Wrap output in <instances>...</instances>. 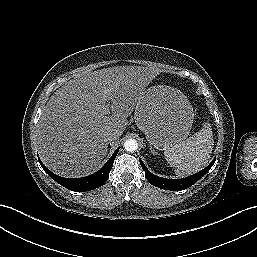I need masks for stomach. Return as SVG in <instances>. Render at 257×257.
Wrapping results in <instances>:
<instances>
[{"label": "stomach", "instance_id": "0dacf381", "mask_svg": "<svg viewBox=\"0 0 257 257\" xmlns=\"http://www.w3.org/2000/svg\"><path fill=\"white\" fill-rule=\"evenodd\" d=\"M135 122L151 146L166 150L184 141L192 128L194 112L187 97L169 86L145 91L135 108Z\"/></svg>", "mask_w": 257, "mask_h": 257}]
</instances>
